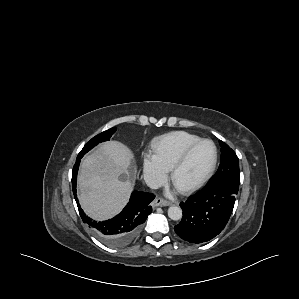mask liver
<instances>
[{
  "mask_svg": "<svg viewBox=\"0 0 299 299\" xmlns=\"http://www.w3.org/2000/svg\"><path fill=\"white\" fill-rule=\"evenodd\" d=\"M132 154L118 141H109L82 161L78 189L84 212L97 220L119 213L133 189Z\"/></svg>",
  "mask_w": 299,
  "mask_h": 299,
  "instance_id": "1",
  "label": "liver"
}]
</instances>
